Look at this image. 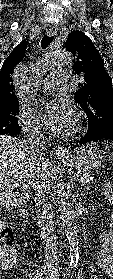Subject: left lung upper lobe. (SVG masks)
<instances>
[{
    "instance_id": "1",
    "label": "left lung upper lobe",
    "mask_w": 113,
    "mask_h": 279,
    "mask_svg": "<svg viewBox=\"0 0 113 279\" xmlns=\"http://www.w3.org/2000/svg\"><path fill=\"white\" fill-rule=\"evenodd\" d=\"M65 47L73 54L74 71L83 77L75 100L88 118V130L94 131L113 121L112 79L104 61L89 37L79 31L69 34Z\"/></svg>"
}]
</instances>
